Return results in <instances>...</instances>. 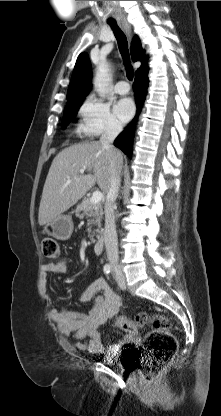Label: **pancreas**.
I'll return each mask as SVG.
<instances>
[{
	"label": "pancreas",
	"mask_w": 221,
	"mask_h": 416,
	"mask_svg": "<svg viewBox=\"0 0 221 416\" xmlns=\"http://www.w3.org/2000/svg\"><path fill=\"white\" fill-rule=\"evenodd\" d=\"M75 214L79 219H83L84 217L88 218L87 225L89 226V233H91L92 225L98 227V229L95 230L97 233L101 232V221L103 218V206L101 203L92 204L90 199L86 198L77 206ZM95 231H93V235H90V238H93Z\"/></svg>",
	"instance_id": "cf45deb5"
}]
</instances>
